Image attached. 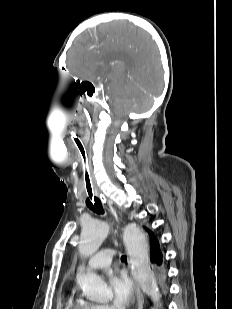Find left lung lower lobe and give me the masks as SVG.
Returning a JSON list of instances; mask_svg holds the SVG:
<instances>
[{
    "instance_id": "1",
    "label": "left lung lower lobe",
    "mask_w": 232,
    "mask_h": 309,
    "mask_svg": "<svg viewBox=\"0 0 232 309\" xmlns=\"http://www.w3.org/2000/svg\"><path fill=\"white\" fill-rule=\"evenodd\" d=\"M150 238V261L161 279L166 276L165 255L159 237L148 230Z\"/></svg>"
}]
</instances>
